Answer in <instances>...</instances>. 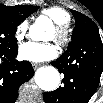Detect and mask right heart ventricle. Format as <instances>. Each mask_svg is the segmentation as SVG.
<instances>
[{
	"label": "right heart ventricle",
	"instance_id": "obj_1",
	"mask_svg": "<svg viewBox=\"0 0 103 103\" xmlns=\"http://www.w3.org/2000/svg\"><path fill=\"white\" fill-rule=\"evenodd\" d=\"M43 14L49 17L56 24L67 26L70 21V15L64 9L57 6L43 10Z\"/></svg>",
	"mask_w": 103,
	"mask_h": 103
}]
</instances>
